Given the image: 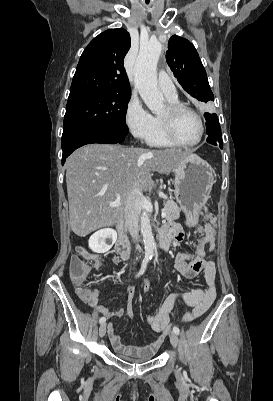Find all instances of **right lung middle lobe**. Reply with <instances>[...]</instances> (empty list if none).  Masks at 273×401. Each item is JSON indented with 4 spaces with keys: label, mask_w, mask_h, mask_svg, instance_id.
Listing matches in <instances>:
<instances>
[{
    "label": "right lung middle lobe",
    "mask_w": 273,
    "mask_h": 401,
    "mask_svg": "<svg viewBox=\"0 0 273 401\" xmlns=\"http://www.w3.org/2000/svg\"><path fill=\"white\" fill-rule=\"evenodd\" d=\"M130 98L131 95L95 92L69 96L63 131L72 127H91L127 135L125 117Z\"/></svg>",
    "instance_id": "obj_1"
}]
</instances>
